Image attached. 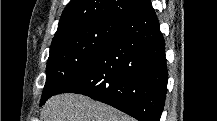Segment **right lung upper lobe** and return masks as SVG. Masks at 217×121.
<instances>
[{"label": "right lung upper lobe", "instance_id": "right-lung-upper-lobe-1", "mask_svg": "<svg viewBox=\"0 0 217 121\" xmlns=\"http://www.w3.org/2000/svg\"><path fill=\"white\" fill-rule=\"evenodd\" d=\"M150 4V0H71L62 13L53 39L84 22L98 19L127 22Z\"/></svg>", "mask_w": 217, "mask_h": 121}]
</instances>
